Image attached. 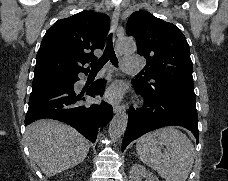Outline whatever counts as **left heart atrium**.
<instances>
[{
  "label": "left heart atrium",
  "mask_w": 228,
  "mask_h": 181,
  "mask_svg": "<svg viewBox=\"0 0 228 181\" xmlns=\"http://www.w3.org/2000/svg\"><path fill=\"white\" fill-rule=\"evenodd\" d=\"M120 94H121V88L119 84L112 85L107 92V95L110 98H119Z\"/></svg>",
  "instance_id": "1"
}]
</instances>
